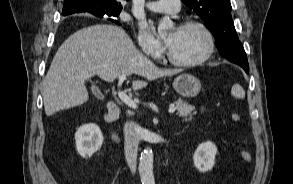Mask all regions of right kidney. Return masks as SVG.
Masks as SVG:
<instances>
[{"instance_id": "obj_1", "label": "right kidney", "mask_w": 293, "mask_h": 184, "mask_svg": "<svg viewBox=\"0 0 293 184\" xmlns=\"http://www.w3.org/2000/svg\"><path fill=\"white\" fill-rule=\"evenodd\" d=\"M103 143V135L96 124L81 126L75 134L76 150L85 159L97 152Z\"/></svg>"}]
</instances>
